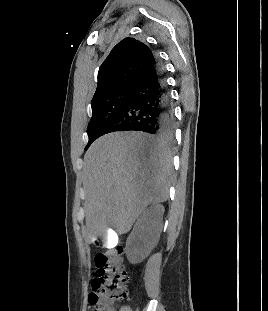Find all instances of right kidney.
I'll list each match as a JSON object with an SVG mask.
<instances>
[{
	"label": "right kidney",
	"mask_w": 268,
	"mask_h": 311,
	"mask_svg": "<svg viewBox=\"0 0 268 311\" xmlns=\"http://www.w3.org/2000/svg\"><path fill=\"white\" fill-rule=\"evenodd\" d=\"M164 207L153 204L137 219L127 238L125 252L131 264L142 262L157 245L163 228Z\"/></svg>",
	"instance_id": "obj_1"
}]
</instances>
